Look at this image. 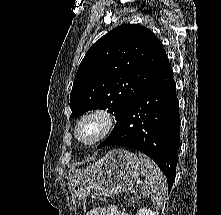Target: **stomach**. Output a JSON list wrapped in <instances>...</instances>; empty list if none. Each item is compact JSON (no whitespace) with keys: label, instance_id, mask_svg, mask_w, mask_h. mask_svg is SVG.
<instances>
[{"label":"stomach","instance_id":"stomach-1","mask_svg":"<svg viewBox=\"0 0 221 215\" xmlns=\"http://www.w3.org/2000/svg\"><path fill=\"white\" fill-rule=\"evenodd\" d=\"M141 163L127 150L114 149L85 168L69 170V184L75 197L82 199L94 190L110 197L133 188L139 179Z\"/></svg>","mask_w":221,"mask_h":215}]
</instances>
